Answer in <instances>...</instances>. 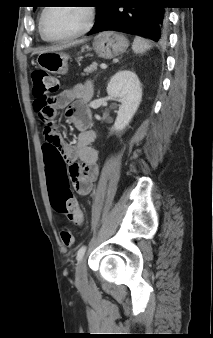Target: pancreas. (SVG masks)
Segmentation results:
<instances>
[{
  "label": "pancreas",
  "instance_id": "1",
  "mask_svg": "<svg viewBox=\"0 0 213 338\" xmlns=\"http://www.w3.org/2000/svg\"><path fill=\"white\" fill-rule=\"evenodd\" d=\"M96 69H97V63H93L92 65L84 69V73L82 75H85V74L88 75L89 73L96 71Z\"/></svg>",
  "mask_w": 213,
  "mask_h": 338
}]
</instances>
